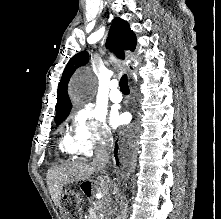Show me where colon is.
Returning a JSON list of instances; mask_svg holds the SVG:
<instances>
[{
	"mask_svg": "<svg viewBox=\"0 0 221 219\" xmlns=\"http://www.w3.org/2000/svg\"><path fill=\"white\" fill-rule=\"evenodd\" d=\"M63 206L68 219H78L80 213V199L74 192H67L63 196Z\"/></svg>",
	"mask_w": 221,
	"mask_h": 219,
	"instance_id": "1",
	"label": "colon"
}]
</instances>
